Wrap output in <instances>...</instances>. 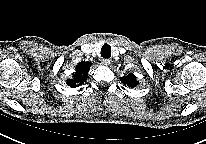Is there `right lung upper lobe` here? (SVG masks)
<instances>
[{
	"label": "right lung upper lobe",
	"instance_id": "1",
	"mask_svg": "<svg viewBox=\"0 0 206 144\" xmlns=\"http://www.w3.org/2000/svg\"><path fill=\"white\" fill-rule=\"evenodd\" d=\"M91 65L90 62H80L76 66V72L73 74V79L67 80V85L72 88L82 85L87 79Z\"/></svg>",
	"mask_w": 206,
	"mask_h": 144
}]
</instances>
